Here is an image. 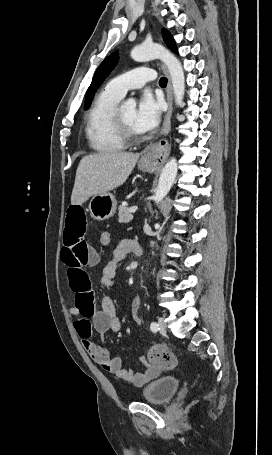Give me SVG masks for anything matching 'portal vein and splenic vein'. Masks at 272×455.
<instances>
[{"instance_id": "18ae733b", "label": "portal vein and splenic vein", "mask_w": 272, "mask_h": 455, "mask_svg": "<svg viewBox=\"0 0 272 455\" xmlns=\"http://www.w3.org/2000/svg\"><path fill=\"white\" fill-rule=\"evenodd\" d=\"M138 207L137 206H133L130 208V213H135L137 211Z\"/></svg>"}]
</instances>
